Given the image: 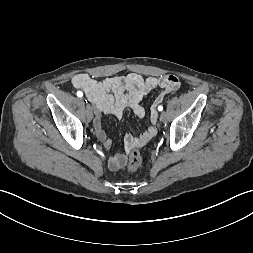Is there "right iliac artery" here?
I'll return each instance as SVG.
<instances>
[{
  "label": "right iliac artery",
  "mask_w": 253,
  "mask_h": 253,
  "mask_svg": "<svg viewBox=\"0 0 253 253\" xmlns=\"http://www.w3.org/2000/svg\"><path fill=\"white\" fill-rule=\"evenodd\" d=\"M77 96H78V97H82V96H83V93H82L81 91H78V92H77Z\"/></svg>",
  "instance_id": "obj_1"
}]
</instances>
